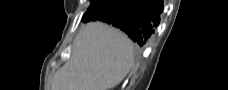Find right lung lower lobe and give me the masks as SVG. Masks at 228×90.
<instances>
[{
    "label": "right lung lower lobe",
    "instance_id": "1",
    "mask_svg": "<svg viewBox=\"0 0 228 90\" xmlns=\"http://www.w3.org/2000/svg\"><path fill=\"white\" fill-rule=\"evenodd\" d=\"M163 9V0H101L90 4L82 21L111 24L143 46L158 26Z\"/></svg>",
    "mask_w": 228,
    "mask_h": 90
}]
</instances>
